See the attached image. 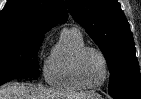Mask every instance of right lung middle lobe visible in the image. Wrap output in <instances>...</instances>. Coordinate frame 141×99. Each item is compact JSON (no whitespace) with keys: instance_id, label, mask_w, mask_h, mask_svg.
Masks as SVG:
<instances>
[{"instance_id":"1","label":"right lung middle lobe","mask_w":141,"mask_h":99,"mask_svg":"<svg viewBox=\"0 0 141 99\" xmlns=\"http://www.w3.org/2000/svg\"><path fill=\"white\" fill-rule=\"evenodd\" d=\"M42 37L0 34V85L15 78L39 76L36 53Z\"/></svg>"}]
</instances>
